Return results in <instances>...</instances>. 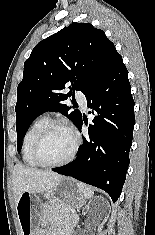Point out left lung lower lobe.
I'll return each instance as SVG.
<instances>
[{"label": "left lung lower lobe", "instance_id": "left-lung-lower-lobe-1", "mask_svg": "<svg viewBox=\"0 0 155 235\" xmlns=\"http://www.w3.org/2000/svg\"><path fill=\"white\" fill-rule=\"evenodd\" d=\"M94 115L77 158L52 170L106 191L116 202L125 182L135 125L134 100L122 57L86 95ZM83 120L76 125L81 130Z\"/></svg>", "mask_w": 155, "mask_h": 235}]
</instances>
